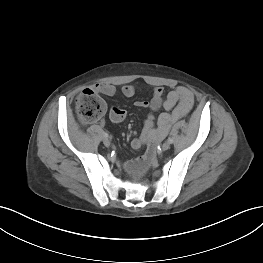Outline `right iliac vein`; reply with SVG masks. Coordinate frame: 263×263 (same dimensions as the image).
Wrapping results in <instances>:
<instances>
[{
    "label": "right iliac vein",
    "instance_id": "63e3f726",
    "mask_svg": "<svg viewBox=\"0 0 263 263\" xmlns=\"http://www.w3.org/2000/svg\"><path fill=\"white\" fill-rule=\"evenodd\" d=\"M103 143H104V145H105L106 147H109V146H110V141H109V139H107V138H104Z\"/></svg>",
    "mask_w": 263,
    "mask_h": 263
}]
</instances>
